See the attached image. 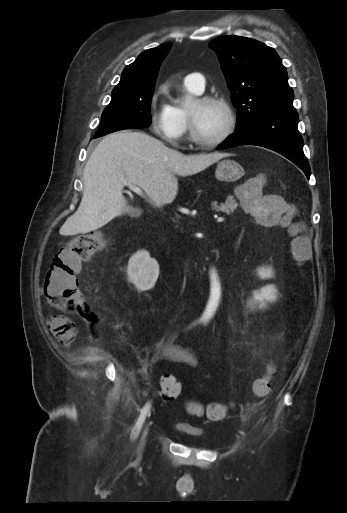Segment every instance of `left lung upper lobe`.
Returning a JSON list of instances; mask_svg holds the SVG:
<instances>
[{"label": "left lung upper lobe", "mask_w": 347, "mask_h": 513, "mask_svg": "<svg viewBox=\"0 0 347 513\" xmlns=\"http://www.w3.org/2000/svg\"><path fill=\"white\" fill-rule=\"evenodd\" d=\"M237 108L236 131L272 113H293V90L276 51L239 36H220L210 42Z\"/></svg>", "instance_id": "obj_1"}]
</instances>
